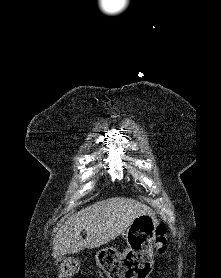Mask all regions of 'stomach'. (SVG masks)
<instances>
[{"label":"stomach","mask_w":221,"mask_h":278,"mask_svg":"<svg viewBox=\"0 0 221 278\" xmlns=\"http://www.w3.org/2000/svg\"><path fill=\"white\" fill-rule=\"evenodd\" d=\"M159 221L154 214L136 217L125 233L129 250L120 254L114 248L96 253V262L109 278H148L154 272L153 247Z\"/></svg>","instance_id":"stomach-1"}]
</instances>
